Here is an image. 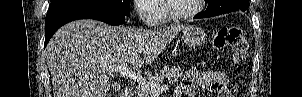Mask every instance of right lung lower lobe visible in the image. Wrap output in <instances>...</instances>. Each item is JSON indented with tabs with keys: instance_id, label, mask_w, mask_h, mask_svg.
Here are the masks:
<instances>
[{
	"instance_id": "1",
	"label": "right lung lower lobe",
	"mask_w": 302,
	"mask_h": 97,
	"mask_svg": "<svg viewBox=\"0 0 302 97\" xmlns=\"http://www.w3.org/2000/svg\"><path fill=\"white\" fill-rule=\"evenodd\" d=\"M126 15L115 8L100 3H77L49 9L45 22V43L64 24L78 19H95L110 25H120Z\"/></svg>"
}]
</instances>
